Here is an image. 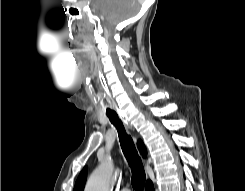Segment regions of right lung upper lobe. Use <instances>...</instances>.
I'll return each instance as SVG.
<instances>
[{
    "label": "right lung upper lobe",
    "mask_w": 245,
    "mask_h": 191,
    "mask_svg": "<svg viewBox=\"0 0 245 191\" xmlns=\"http://www.w3.org/2000/svg\"><path fill=\"white\" fill-rule=\"evenodd\" d=\"M137 145L140 153L143 155V157H145L147 155V150L143 142L138 141ZM86 175H87V167H84V169L80 172L79 177L77 178L73 191H83L86 182Z\"/></svg>",
    "instance_id": "1"
}]
</instances>
